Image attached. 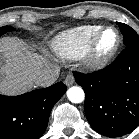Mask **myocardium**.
Instances as JSON below:
<instances>
[{
  "label": "myocardium",
  "instance_id": "obj_1",
  "mask_svg": "<svg viewBox=\"0 0 139 139\" xmlns=\"http://www.w3.org/2000/svg\"><path fill=\"white\" fill-rule=\"evenodd\" d=\"M108 30H113L116 33L117 41L114 47L105 54L98 53V42L101 36ZM122 43V37L120 31L114 26L102 27L92 38L84 56L83 62L86 68L92 71H97L105 68L114 59L118 53Z\"/></svg>",
  "mask_w": 139,
  "mask_h": 139
}]
</instances>
